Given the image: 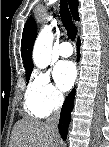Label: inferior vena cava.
Listing matches in <instances>:
<instances>
[{"label": "inferior vena cava", "mask_w": 109, "mask_h": 147, "mask_svg": "<svg viewBox=\"0 0 109 147\" xmlns=\"http://www.w3.org/2000/svg\"><path fill=\"white\" fill-rule=\"evenodd\" d=\"M64 101V97L62 95L57 96V105L53 110L52 115L46 120V124L51 129L54 136H58V122L61 113V106ZM55 147H58V141H55Z\"/></svg>", "instance_id": "obj_1"}]
</instances>
